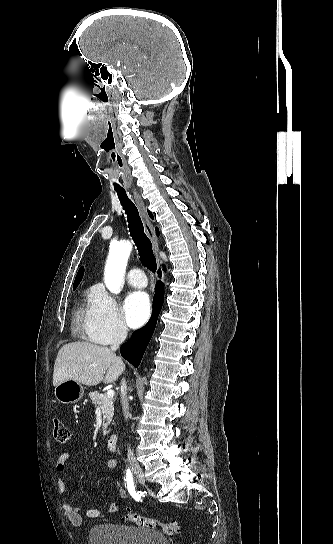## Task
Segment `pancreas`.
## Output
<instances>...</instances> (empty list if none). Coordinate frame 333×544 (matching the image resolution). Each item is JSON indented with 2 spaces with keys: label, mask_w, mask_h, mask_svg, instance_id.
I'll return each mask as SVG.
<instances>
[{
  "label": "pancreas",
  "mask_w": 333,
  "mask_h": 544,
  "mask_svg": "<svg viewBox=\"0 0 333 544\" xmlns=\"http://www.w3.org/2000/svg\"><path fill=\"white\" fill-rule=\"evenodd\" d=\"M89 398L95 406H99L102 410L103 434L107 435L109 433L108 425L110 424L114 414L113 399L108 398L105 394H101L97 391L90 392Z\"/></svg>",
  "instance_id": "cf45deb5"
}]
</instances>
